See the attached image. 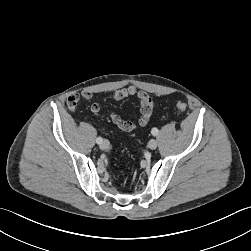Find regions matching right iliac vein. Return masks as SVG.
Instances as JSON below:
<instances>
[{
  "label": "right iliac vein",
  "instance_id": "obj_1",
  "mask_svg": "<svg viewBox=\"0 0 251 251\" xmlns=\"http://www.w3.org/2000/svg\"><path fill=\"white\" fill-rule=\"evenodd\" d=\"M109 148V142L108 141H104L100 144V149L102 150H107Z\"/></svg>",
  "mask_w": 251,
  "mask_h": 251
}]
</instances>
